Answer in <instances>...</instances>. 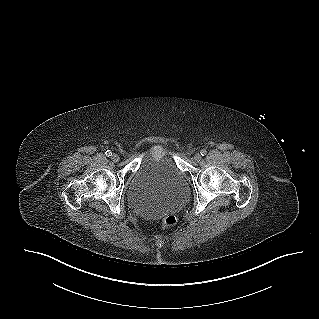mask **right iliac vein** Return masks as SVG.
I'll use <instances>...</instances> for the list:
<instances>
[{"label":"right iliac vein","instance_id":"obj_1","mask_svg":"<svg viewBox=\"0 0 319 319\" xmlns=\"http://www.w3.org/2000/svg\"><path fill=\"white\" fill-rule=\"evenodd\" d=\"M111 159H112L113 162H118L120 158H119V155H118V154H113V155L111 156Z\"/></svg>","mask_w":319,"mask_h":319}]
</instances>
